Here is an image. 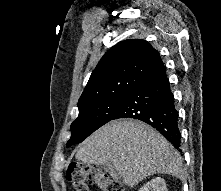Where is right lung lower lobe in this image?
<instances>
[{"label":"right lung lower lobe","mask_w":221,"mask_h":191,"mask_svg":"<svg viewBox=\"0 0 221 191\" xmlns=\"http://www.w3.org/2000/svg\"><path fill=\"white\" fill-rule=\"evenodd\" d=\"M119 118L149 124L181 152L179 116L164 66L128 92L112 120Z\"/></svg>","instance_id":"98d812e1"}]
</instances>
